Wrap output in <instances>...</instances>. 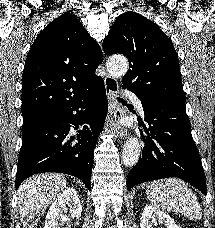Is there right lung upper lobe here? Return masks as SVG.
<instances>
[{"instance_id":"1","label":"right lung upper lobe","mask_w":215,"mask_h":228,"mask_svg":"<svg viewBox=\"0 0 215 228\" xmlns=\"http://www.w3.org/2000/svg\"><path fill=\"white\" fill-rule=\"evenodd\" d=\"M103 53L71 14H63L37 36L22 75L23 124L39 122L66 107L97 77Z\"/></svg>"}]
</instances>
